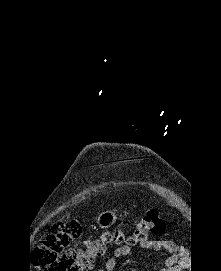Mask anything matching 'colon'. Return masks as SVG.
Listing matches in <instances>:
<instances>
[{
    "mask_svg": "<svg viewBox=\"0 0 221 271\" xmlns=\"http://www.w3.org/2000/svg\"><path fill=\"white\" fill-rule=\"evenodd\" d=\"M165 221L155 211H149L136 222L134 232L127 239L134 245L151 235L163 234ZM83 229L75 218H66L55 223L52 232L45 236L33 253V264L39 271H90L96 260L105 255L112 244L124 241L119 232H105L94 239H87L83 247H69L72 240L82 235Z\"/></svg>",
    "mask_w": 221,
    "mask_h": 271,
    "instance_id": "obj_1",
    "label": "colon"
}]
</instances>
